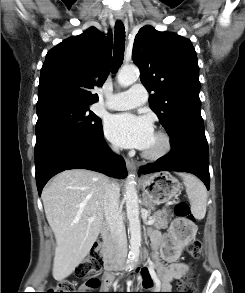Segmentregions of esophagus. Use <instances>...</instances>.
Returning <instances> with one entry per match:
<instances>
[{"label":"esophagus","mask_w":245,"mask_h":293,"mask_svg":"<svg viewBox=\"0 0 245 293\" xmlns=\"http://www.w3.org/2000/svg\"><path fill=\"white\" fill-rule=\"evenodd\" d=\"M116 18L118 20H122L123 19V16L122 15H118V16H116ZM125 162H126V166H127L128 170L130 172H135L136 171V168L137 167H136V164L133 161H131L129 159H126Z\"/></svg>","instance_id":"esophagus-1"}]
</instances>
